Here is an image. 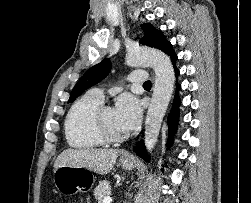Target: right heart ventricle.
<instances>
[{"label":"right heart ventricle","mask_w":251,"mask_h":203,"mask_svg":"<svg viewBox=\"0 0 251 203\" xmlns=\"http://www.w3.org/2000/svg\"><path fill=\"white\" fill-rule=\"evenodd\" d=\"M103 100L89 92L77 99L69 108L64 122L68 144L76 149L89 150L104 145L95 128V116Z\"/></svg>","instance_id":"1"}]
</instances>
